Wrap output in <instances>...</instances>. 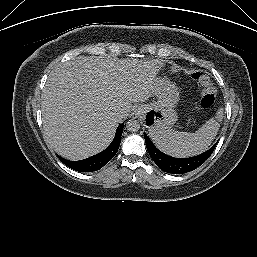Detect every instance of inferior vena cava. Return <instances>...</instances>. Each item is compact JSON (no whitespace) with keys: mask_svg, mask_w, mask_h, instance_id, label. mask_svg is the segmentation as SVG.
<instances>
[{"mask_svg":"<svg viewBox=\"0 0 257 257\" xmlns=\"http://www.w3.org/2000/svg\"><path fill=\"white\" fill-rule=\"evenodd\" d=\"M114 118L119 120L121 118V115L117 114Z\"/></svg>","mask_w":257,"mask_h":257,"instance_id":"1","label":"inferior vena cava"}]
</instances>
